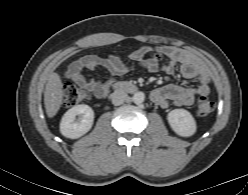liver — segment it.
I'll return each mask as SVG.
<instances>
[{"label": "liver", "instance_id": "liver-1", "mask_svg": "<svg viewBox=\"0 0 248 195\" xmlns=\"http://www.w3.org/2000/svg\"><path fill=\"white\" fill-rule=\"evenodd\" d=\"M63 101V83L61 77L53 72L50 74L44 92V104L49 118L59 111Z\"/></svg>", "mask_w": 248, "mask_h": 195}]
</instances>
